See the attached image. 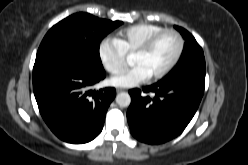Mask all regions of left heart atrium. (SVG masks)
Wrapping results in <instances>:
<instances>
[{
	"label": "left heart atrium",
	"mask_w": 248,
	"mask_h": 165,
	"mask_svg": "<svg viewBox=\"0 0 248 165\" xmlns=\"http://www.w3.org/2000/svg\"><path fill=\"white\" fill-rule=\"evenodd\" d=\"M151 76L142 65H134L133 67L122 69L113 75L110 79L112 85L122 88L136 86Z\"/></svg>",
	"instance_id": "39dd6f15"
}]
</instances>
